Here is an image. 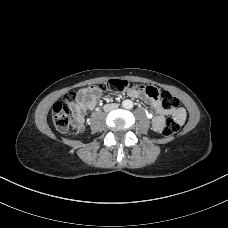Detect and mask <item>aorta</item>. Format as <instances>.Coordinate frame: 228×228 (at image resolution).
Listing matches in <instances>:
<instances>
[{"instance_id":"762f6f07","label":"aorta","mask_w":228,"mask_h":228,"mask_svg":"<svg viewBox=\"0 0 228 228\" xmlns=\"http://www.w3.org/2000/svg\"><path fill=\"white\" fill-rule=\"evenodd\" d=\"M122 105L126 109H131L133 107V102L131 100H125Z\"/></svg>"}]
</instances>
